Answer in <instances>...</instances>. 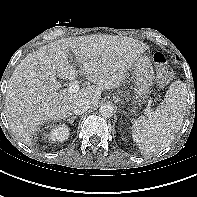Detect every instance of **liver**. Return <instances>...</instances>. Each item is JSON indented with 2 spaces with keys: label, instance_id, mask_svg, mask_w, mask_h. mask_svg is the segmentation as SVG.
I'll return each instance as SVG.
<instances>
[{
  "label": "liver",
  "instance_id": "obj_1",
  "mask_svg": "<svg viewBox=\"0 0 197 197\" xmlns=\"http://www.w3.org/2000/svg\"><path fill=\"white\" fill-rule=\"evenodd\" d=\"M147 49L130 37L95 34L61 39L27 55L8 81L4 109L10 129L22 143L32 145L37 127L69 117L77 99L96 106L103 90L120 87L133 61ZM69 51L79 72L93 83L73 94L58 92L56 79L73 80L78 74Z\"/></svg>",
  "mask_w": 197,
  "mask_h": 197
}]
</instances>
